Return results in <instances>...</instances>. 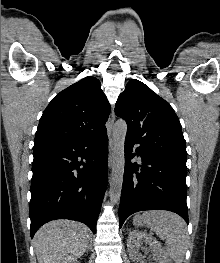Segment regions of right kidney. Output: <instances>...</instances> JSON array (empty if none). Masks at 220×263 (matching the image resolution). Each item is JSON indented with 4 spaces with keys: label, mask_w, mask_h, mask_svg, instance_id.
<instances>
[{
    "label": "right kidney",
    "mask_w": 220,
    "mask_h": 263,
    "mask_svg": "<svg viewBox=\"0 0 220 263\" xmlns=\"http://www.w3.org/2000/svg\"><path fill=\"white\" fill-rule=\"evenodd\" d=\"M70 263H80L79 261H77V260H73L72 262H70Z\"/></svg>",
    "instance_id": "1"
}]
</instances>
